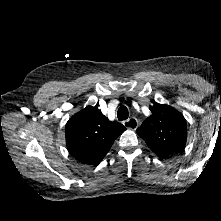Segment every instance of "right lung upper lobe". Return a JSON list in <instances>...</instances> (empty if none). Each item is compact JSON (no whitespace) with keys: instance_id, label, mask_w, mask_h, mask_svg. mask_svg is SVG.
I'll return each instance as SVG.
<instances>
[{"instance_id":"1","label":"right lung upper lobe","mask_w":221,"mask_h":221,"mask_svg":"<svg viewBox=\"0 0 221 221\" xmlns=\"http://www.w3.org/2000/svg\"><path fill=\"white\" fill-rule=\"evenodd\" d=\"M125 130L121 123L109 121L97 107L87 106L65 126L67 148L80 162L97 164Z\"/></svg>"}]
</instances>
